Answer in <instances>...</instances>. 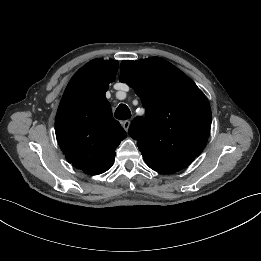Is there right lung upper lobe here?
Masks as SVG:
<instances>
[{
    "label": "right lung upper lobe",
    "mask_w": 261,
    "mask_h": 261,
    "mask_svg": "<svg viewBox=\"0 0 261 261\" xmlns=\"http://www.w3.org/2000/svg\"><path fill=\"white\" fill-rule=\"evenodd\" d=\"M119 62L95 59L68 83L55 120L58 144L69 163L91 175L107 171L127 134L112 116L105 93Z\"/></svg>",
    "instance_id": "right-lung-upper-lobe-1"
}]
</instances>
